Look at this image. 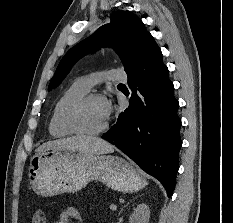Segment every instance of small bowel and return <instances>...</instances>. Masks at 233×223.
Listing matches in <instances>:
<instances>
[{"label": "small bowel", "mask_w": 233, "mask_h": 223, "mask_svg": "<svg viewBox=\"0 0 233 223\" xmlns=\"http://www.w3.org/2000/svg\"><path fill=\"white\" fill-rule=\"evenodd\" d=\"M56 223H83V218L77 208L69 206L62 210Z\"/></svg>", "instance_id": "small-bowel-1"}]
</instances>
